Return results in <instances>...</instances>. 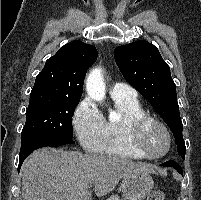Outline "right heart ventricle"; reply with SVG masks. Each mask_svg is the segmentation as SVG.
<instances>
[{
    "label": "right heart ventricle",
    "instance_id": "right-heart-ventricle-1",
    "mask_svg": "<svg viewBox=\"0 0 201 200\" xmlns=\"http://www.w3.org/2000/svg\"><path fill=\"white\" fill-rule=\"evenodd\" d=\"M112 100L120 116L103 121L102 145L97 152L142 159L143 157L128 142L127 126L131 119L145 115L144 109L136 98L112 97Z\"/></svg>",
    "mask_w": 201,
    "mask_h": 200
}]
</instances>
